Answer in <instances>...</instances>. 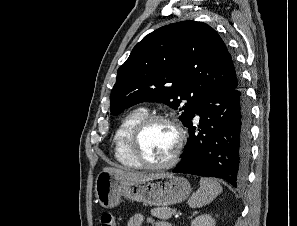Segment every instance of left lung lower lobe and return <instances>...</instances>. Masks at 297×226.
I'll return each instance as SVG.
<instances>
[{"instance_id": "obj_1", "label": "left lung lower lobe", "mask_w": 297, "mask_h": 226, "mask_svg": "<svg viewBox=\"0 0 297 226\" xmlns=\"http://www.w3.org/2000/svg\"><path fill=\"white\" fill-rule=\"evenodd\" d=\"M196 114L200 116L198 127L192 123ZM250 118L241 83L228 90H206L185 125L189 139L172 172L218 177L234 187L242 185L250 160Z\"/></svg>"}]
</instances>
